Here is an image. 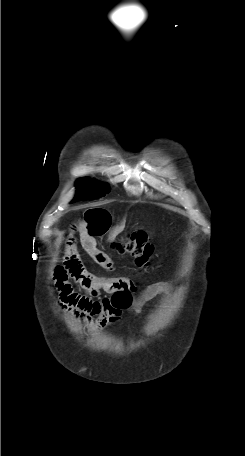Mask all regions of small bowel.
<instances>
[{
  "label": "small bowel",
  "instance_id": "c3829d8e",
  "mask_svg": "<svg viewBox=\"0 0 245 456\" xmlns=\"http://www.w3.org/2000/svg\"><path fill=\"white\" fill-rule=\"evenodd\" d=\"M111 224L110 213L102 208L91 209L71 225L66 242L64 263L54 272L61 308L73 318L89 326L104 328L118 321L123 311L139 313L143 304L158 294L169 292V285H152L134 296L136 287L127 277H99L84 269L79 259L74 234L78 233L84 249L105 270L113 269L111 258L96 247V238L107 233ZM74 278L88 296L74 291L68 277ZM104 294L100 299L96 297ZM98 317L95 323L93 318Z\"/></svg>",
  "mask_w": 245,
  "mask_h": 456
}]
</instances>
